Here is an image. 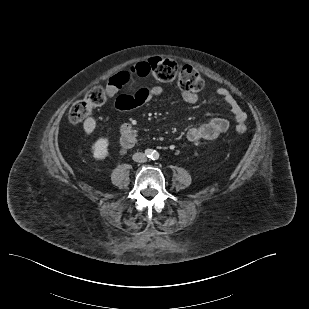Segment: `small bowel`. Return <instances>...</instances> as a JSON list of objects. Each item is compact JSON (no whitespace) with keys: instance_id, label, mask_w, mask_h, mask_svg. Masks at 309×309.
<instances>
[{"instance_id":"obj_1","label":"small bowel","mask_w":309,"mask_h":309,"mask_svg":"<svg viewBox=\"0 0 309 309\" xmlns=\"http://www.w3.org/2000/svg\"><path fill=\"white\" fill-rule=\"evenodd\" d=\"M148 62H140L128 69H124L109 78L106 91L109 97H114L134 77H146L150 74ZM165 93L162 85L152 87H141L133 94L119 95L116 99V107L121 111H128L133 108L149 103ZM217 95L229 106L234 120L240 124L244 123L247 116L233 94L224 87L216 89ZM183 99L188 103H196L199 99L196 93L183 92ZM229 128V121L222 117H214L198 126L191 127L187 131V138L192 142L200 140H214ZM137 142V134L131 123H124L120 129V143L123 148H131Z\"/></svg>"}]
</instances>
